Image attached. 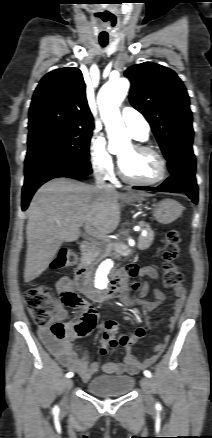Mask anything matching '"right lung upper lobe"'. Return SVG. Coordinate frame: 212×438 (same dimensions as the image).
<instances>
[{
  "mask_svg": "<svg viewBox=\"0 0 212 438\" xmlns=\"http://www.w3.org/2000/svg\"><path fill=\"white\" fill-rule=\"evenodd\" d=\"M45 126L93 129L79 69H56L41 79L32 98L28 127L33 130Z\"/></svg>",
  "mask_w": 212,
  "mask_h": 438,
  "instance_id": "1",
  "label": "right lung upper lobe"
}]
</instances>
